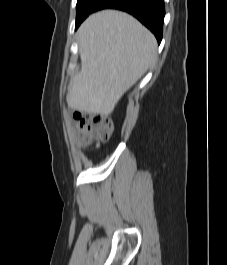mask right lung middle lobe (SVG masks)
<instances>
[{
	"instance_id": "1",
	"label": "right lung middle lobe",
	"mask_w": 227,
	"mask_h": 265,
	"mask_svg": "<svg viewBox=\"0 0 227 265\" xmlns=\"http://www.w3.org/2000/svg\"><path fill=\"white\" fill-rule=\"evenodd\" d=\"M101 0H78L76 5V25L91 14Z\"/></svg>"
}]
</instances>
